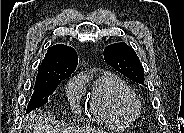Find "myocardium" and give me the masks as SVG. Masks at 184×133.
<instances>
[{"label": "myocardium", "mask_w": 184, "mask_h": 133, "mask_svg": "<svg viewBox=\"0 0 184 133\" xmlns=\"http://www.w3.org/2000/svg\"><path fill=\"white\" fill-rule=\"evenodd\" d=\"M131 107L138 114L140 112V109H141V104L137 99H135V100L132 101Z\"/></svg>", "instance_id": "obj_1"}]
</instances>
